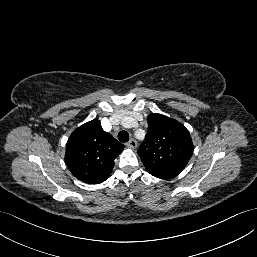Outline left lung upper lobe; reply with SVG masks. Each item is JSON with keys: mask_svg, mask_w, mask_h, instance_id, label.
<instances>
[{"mask_svg": "<svg viewBox=\"0 0 257 257\" xmlns=\"http://www.w3.org/2000/svg\"><path fill=\"white\" fill-rule=\"evenodd\" d=\"M145 142L138 149L147 171L160 179L176 176L188 163L193 143L188 130L175 119L152 113Z\"/></svg>", "mask_w": 257, "mask_h": 257, "instance_id": "left-lung-upper-lobe-1", "label": "left lung upper lobe"}]
</instances>
